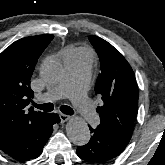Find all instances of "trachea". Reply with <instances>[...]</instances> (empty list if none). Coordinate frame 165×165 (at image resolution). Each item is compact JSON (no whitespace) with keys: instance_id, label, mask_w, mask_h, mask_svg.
Masks as SVG:
<instances>
[{"instance_id":"1","label":"trachea","mask_w":165,"mask_h":165,"mask_svg":"<svg viewBox=\"0 0 165 165\" xmlns=\"http://www.w3.org/2000/svg\"><path fill=\"white\" fill-rule=\"evenodd\" d=\"M33 106L40 110L46 111V112H51L54 109V105L52 103H45L43 105H38L36 103H33ZM60 110H61V112H63L64 114H67V115L74 114L73 109L67 105H62L60 107Z\"/></svg>"}]
</instances>
